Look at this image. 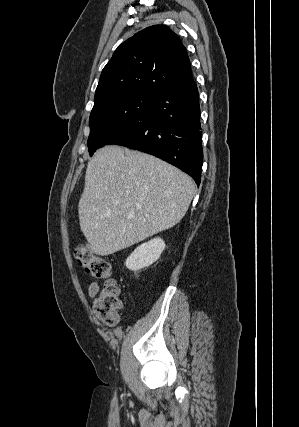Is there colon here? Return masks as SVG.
<instances>
[{"label": "colon", "instance_id": "5ec220e1", "mask_svg": "<svg viewBox=\"0 0 299 427\" xmlns=\"http://www.w3.org/2000/svg\"><path fill=\"white\" fill-rule=\"evenodd\" d=\"M74 257L78 264L91 276L104 279V285L99 291L93 304L94 316L107 326H114L118 322L122 309L119 284L110 279L111 267L108 261L93 254L85 245L77 246Z\"/></svg>", "mask_w": 299, "mask_h": 427}]
</instances>
